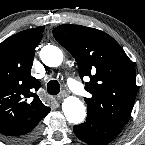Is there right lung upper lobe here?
<instances>
[{"label": "right lung upper lobe", "mask_w": 145, "mask_h": 145, "mask_svg": "<svg viewBox=\"0 0 145 145\" xmlns=\"http://www.w3.org/2000/svg\"><path fill=\"white\" fill-rule=\"evenodd\" d=\"M43 30H24L0 44V133L30 127L50 109L34 93L40 82L30 75ZM30 97L33 99L27 101Z\"/></svg>", "instance_id": "obj_1"}]
</instances>
